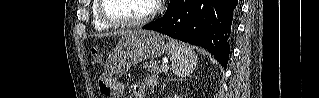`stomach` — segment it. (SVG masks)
<instances>
[{"instance_id": "0dacf381", "label": "stomach", "mask_w": 319, "mask_h": 98, "mask_svg": "<svg viewBox=\"0 0 319 98\" xmlns=\"http://www.w3.org/2000/svg\"><path fill=\"white\" fill-rule=\"evenodd\" d=\"M167 51L163 38L153 31H135L118 42L109 58L104 80V94L116 98L120 89V77L130 67L145 59L159 58Z\"/></svg>"}]
</instances>
